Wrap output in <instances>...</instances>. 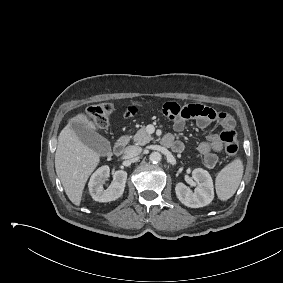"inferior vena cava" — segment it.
<instances>
[{
	"label": "inferior vena cava",
	"mask_w": 283,
	"mask_h": 283,
	"mask_svg": "<svg viewBox=\"0 0 283 283\" xmlns=\"http://www.w3.org/2000/svg\"><path fill=\"white\" fill-rule=\"evenodd\" d=\"M141 152H142L141 147L131 145V146L126 147L124 153L127 157L132 158V157L138 156Z\"/></svg>",
	"instance_id": "1"
}]
</instances>
